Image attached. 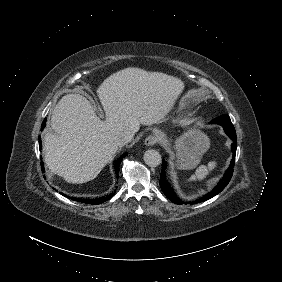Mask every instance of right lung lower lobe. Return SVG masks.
<instances>
[{"label":"right lung lower lobe","instance_id":"right-lung-lower-lobe-1","mask_svg":"<svg viewBox=\"0 0 282 282\" xmlns=\"http://www.w3.org/2000/svg\"><path fill=\"white\" fill-rule=\"evenodd\" d=\"M45 127V122L42 123V128ZM39 139H40V136H39ZM39 147H40V150L42 148V145H41V140H39ZM127 155V153H124L123 155H121L115 162V172L117 174V178H118V173H119V166L121 164V161L122 159ZM41 165L43 166V163L41 162ZM43 169V168H42ZM116 190L109 194V195H106V196H103V197H100V198H96V199H80V198H73V197H69L67 196V198H71L72 200H75V201H78V202H81V203H86V204H93V205H97V204H100V203H103L107 200H109L110 198L113 197V195L115 194ZM62 194V193H60ZM63 196L66 197L65 194H62Z\"/></svg>","mask_w":282,"mask_h":282}]
</instances>
